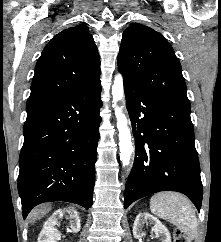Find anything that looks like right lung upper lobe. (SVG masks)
<instances>
[{
  "instance_id": "cb5924a9",
  "label": "right lung upper lobe",
  "mask_w": 221,
  "mask_h": 242,
  "mask_svg": "<svg viewBox=\"0 0 221 242\" xmlns=\"http://www.w3.org/2000/svg\"><path fill=\"white\" fill-rule=\"evenodd\" d=\"M100 73V58L88 27L63 30L37 61L26 106L72 93Z\"/></svg>"
}]
</instances>
